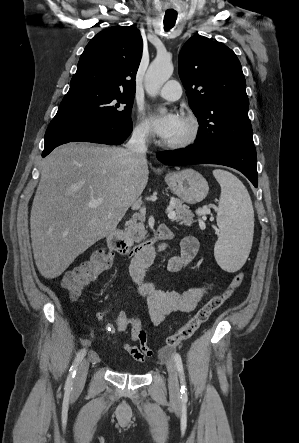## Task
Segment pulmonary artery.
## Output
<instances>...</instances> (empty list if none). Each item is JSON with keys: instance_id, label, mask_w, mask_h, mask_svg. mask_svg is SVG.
I'll return each mask as SVG.
<instances>
[{"instance_id": "pulmonary-artery-1", "label": "pulmonary artery", "mask_w": 299, "mask_h": 443, "mask_svg": "<svg viewBox=\"0 0 299 443\" xmlns=\"http://www.w3.org/2000/svg\"><path fill=\"white\" fill-rule=\"evenodd\" d=\"M158 94L166 100L175 101L181 97L182 88L176 80H169L159 90Z\"/></svg>"}]
</instances>
